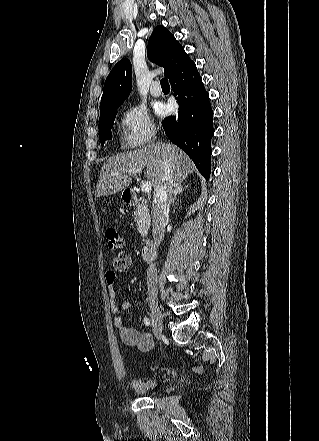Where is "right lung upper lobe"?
I'll use <instances>...</instances> for the list:
<instances>
[{
	"label": "right lung upper lobe",
	"instance_id": "obj_1",
	"mask_svg": "<svg viewBox=\"0 0 319 441\" xmlns=\"http://www.w3.org/2000/svg\"><path fill=\"white\" fill-rule=\"evenodd\" d=\"M148 59L164 68V76L171 80L193 61L175 37L164 27L154 28L148 41ZM132 87V68L128 59L120 60L109 73L101 98L100 110L119 106Z\"/></svg>",
	"mask_w": 319,
	"mask_h": 441
}]
</instances>
